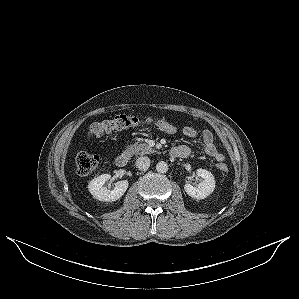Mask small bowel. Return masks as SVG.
<instances>
[{
	"instance_id": "1",
	"label": "small bowel",
	"mask_w": 299,
	"mask_h": 299,
	"mask_svg": "<svg viewBox=\"0 0 299 299\" xmlns=\"http://www.w3.org/2000/svg\"><path fill=\"white\" fill-rule=\"evenodd\" d=\"M182 132L188 138H195L198 134L197 130L192 126H185L182 129ZM201 139H202V142L204 145V150H205L206 154L209 155L210 157L214 158L219 164L222 163L225 160V156L222 152H220L217 149V147L214 143L212 133L209 130H204L201 133ZM178 147L186 149L188 151V155H189L190 150L187 146L181 145Z\"/></svg>"
}]
</instances>
